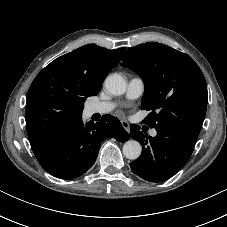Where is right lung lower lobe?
<instances>
[{
    "label": "right lung lower lobe",
    "instance_id": "obj_1",
    "mask_svg": "<svg viewBox=\"0 0 227 227\" xmlns=\"http://www.w3.org/2000/svg\"><path fill=\"white\" fill-rule=\"evenodd\" d=\"M129 139L120 121L104 115L100 122L83 124L82 119L54 137L46 147L35 154L40 165L52 176L61 179L76 178L95 163L101 142L106 138Z\"/></svg>",
    "mask_w": 227,
    "mask_h": 227
}]
</instances>
